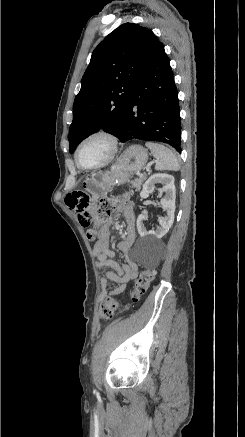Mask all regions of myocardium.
Segmentation results:
<instances>
[{"label":"myocardium","mask_w":245,"mask_h":437,"mask_svg":"<svg viewBox=\"0 0 245 437\" xmlns=\"http://www.w3.org/2000/svg\"><path fill=\"white\" fill-rule=\"evenodd\" d=\"M97 137L104 138L105 140L108 141V143L110 145L109 153H108L107 157L103 161H101L100 163L92 165V166H84L81 164V162L79 160L80 149L87 141H89L93 138H97ZM119 146H120L119 138L112 131H109L107 129L94 130V131L90 132L89 134H87L86 136H84L77 144L75 152H74L75 162H76L77 166L82 170H95V169L102 168V167L108 165L116 157L118 150H119Z\"/></svg>","instance_id":"1"}]
</instances>
